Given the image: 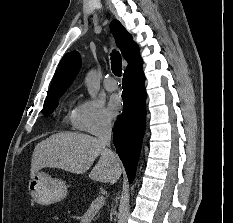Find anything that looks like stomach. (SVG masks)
<instances>
[{
	"label": "stomach",
	"mask_w": 233,
	"mask_h": 223,
	"mask_svg": "<svg viewBox=\"0 0 233 223\" xmlns=\"http://www.w3.org/2000/svg\"><path fill=\"white\" fill-rule=\"evenodd\" d=\"M28 189L31 199L39 205H52L62 201L68 195V185L59 179L52 177L47 171H37L28 181Z\"/></svg>",
	"instance_id": "stomach-1"
}]
</instances>
